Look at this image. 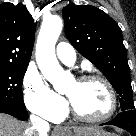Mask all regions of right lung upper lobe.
Segmentation results:
<instances>
[{
  "mask_svg": "<svg viewBox=\"0 0 136 136\" xmlns=\"http://www.w3.org/2000/svg\"><path fill=\"white\" fill-rule=\"evenodd\" d=\"M35 24L22 4L0 5V65H28Z\"/></svg>",
  "mask_w": 136,
  "mask_h": 136,
  "instance_id": "1",
  "label": "right lung upper lobe"
}]
</instances>
